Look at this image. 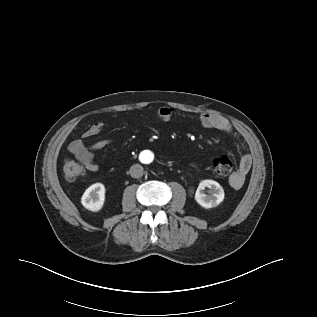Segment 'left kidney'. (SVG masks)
Listing matches in <instances>:
<instances>
[{
	"label": "left kidney",
	"mask_w": 317,
	"mask_h": 317,
	"mask_svg": "<svg viewBox=\"0 0 317 317\" xmlns=\"http://www.w3.org/2000/svg\"><path fill=\"white\" fill-rule=\"evenodd\" d=\"M209 188V195L204 193V189ZM196 202L203 208L209 209L216 207L224 200V190L222 186L214 180H203L195 193Z\"/></svg>",
	"instance_id": "5707ae66"
}]
</instances>
